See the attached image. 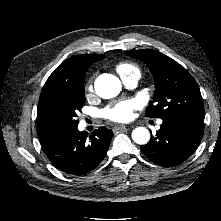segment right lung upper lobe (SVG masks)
Instances as JSON below:
<instances>
[{
	"instance_id": "cb5924a9",
	"label": "right lung upper lobe",
	"mask_w": 221,
	"mask_h": 221,
	"mask_svg": "<svg viewBox=\"0 0 221 221\" xmlns=\"http://www.w3.org/2000/svg\"><path fill=\"white\" fill-rule=\"evenodd\" d=\"M105 56L98 54L76 55L64 61L57 67L47 79L44 87L52 84L77 85L84 83L87 69L96 61L104 59ZM40 140L45 138H39Z\"/></svg>"
}]
</instances>
